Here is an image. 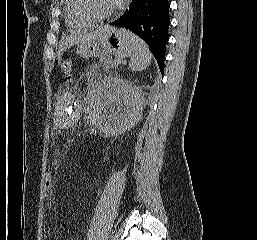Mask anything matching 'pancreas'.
<instances>
[{"instance_id": "1", "label": "pancreas", "mask_w": 257, "mask_h": 240, "mask_svg": "<svg viewBox=\"0 0 257 240\" xmlns=\"http://www.w3.org/2000/svg\"><path fill=\"white\" fill-rule=\"evenodd\" d=\"M100 64L103 65L104 68H114L117 64L112 60V57L109 54H100Z\"/></svg>"}]
</instances>
